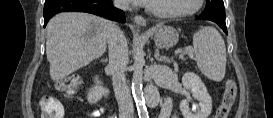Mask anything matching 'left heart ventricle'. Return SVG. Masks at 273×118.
I'll use <instances>...</instances> for the list:
<instances>
[{
    "label": "left heart ventricle",
    "mask_w": 273,
    "mask_h": 118,
    "mask_svg": "<svg viewBox=\"0 0 273 118\" xmlns=\"http://www.w3.org/2000/svg\"><path fill=\"white\" fill-rule=\"evenodd\" d=\"M150 4L160 12H180L191 9L195 0H154Z\"/></svg>",
    "instance_id": "1"
}]
</instances>
